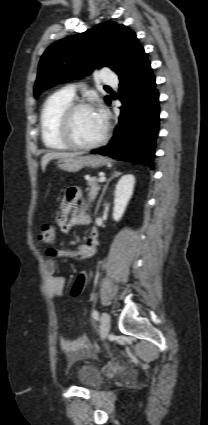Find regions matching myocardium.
Listing matches in <instances>:
<instances>
[{
  "label": "myocardium",
  "instance_id": "obj_1",
  "mask_svg": "<svg viewBox=\"0 0 208 425\" xmlns=\"http://www.w3.org/2000/svg\"><path fill=\"white\" fill-rule=\"evenodd\" d=\"M88 109L95 110L94 106L86 102H72L62 113L59 124V135L64 143H66L70 148L76 150H91L103 145L109 134V125L105 121L104 132L101 137L89 144L79 143L73 136V121L76 113L80 110Z\"/></svg>",
  "mask_w": 208,
  "mask_h": 425
}]
</instances>
